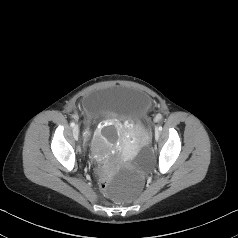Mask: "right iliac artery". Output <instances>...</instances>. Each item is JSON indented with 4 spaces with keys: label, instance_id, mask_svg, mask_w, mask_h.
I'll use <instances>...</instances> for the list:
<instances>
[{
    "label": "right iliac artery",
    "instance_id": "right-iliac-artery-1",
    "mask_svg": "<svg viewBox=\"0 0 238 238\" xmlns=\"http://www.w3.org/2000/svg\"><path fill=\"white\" fill-rule=\"evenodd\" d=\"M70 126H71V127H74V126H75V123H74V122H71V123H70Z\"/></svg>",
    "mask_w": 238,
    "mask_h": 238
}]
</instances>
